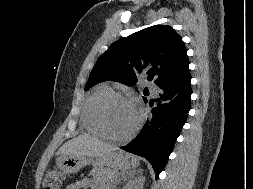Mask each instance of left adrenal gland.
Segmentation results:
<instances>
[{"label": "left adrenal gland", "mask_w": 253, "mask_h": 189, "mask_svg": "<svg viewBox=\"0 0 253 189\" xmlns=\"http://www.w3.org/2000/svg\"><path fill=\"white\" fill-rule=\"evenodd\" d=\"M142 170L141 169H139V170H133V171H129V172H126V173H122L121 174V177H120V179H119V181L120 180H122V179H126L127 177H132V176H134L136 173L137 174H142Z\"/></svg>", "instance_id": "1"}]
</instances>
